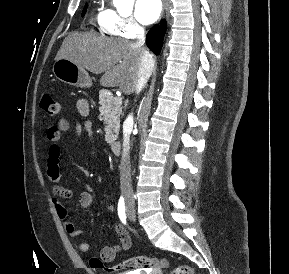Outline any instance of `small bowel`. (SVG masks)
<instances>
[{"instance_id": "1", "label": "small bowel", "mask_w": 289, "mask_h": 274, "mask_svg": "<svg viewBox=\"0 0 289 274\" xmlns=\"http://www.w3.org/2000/svg\"><path fill=\"white\" fill-rule=\"evenodd\" d=\"M79 110L83 114L88 112V103L81 101L79 103ZM70 123L68 120L62 118L57 123L51 125L46 133L47 141L49 142V149L46 158V170L47 176L51 182L52 202L55 207L58 217L63 221V225L67 233L71 237H78L82 231L75 227L70 221H68V211L63 203L64 199L72 198L74 192L71 188L65 187L60 184V141L62 134L69 130ZM75 130L77 134H82L84 131L92 136V125L90 121L85 122L84 125L76 124ZM96 195L94 189L90 185H86L85 189L79 194V202L83 208H88L94 204ZM107 198L104 202H107ZM109 211L114 212L112 205L108 206ZM115 231L118 235V244L105 246L101 249L100 260L102 262H112L120 251L128 250L131 247V238L128 232L121 224L115 226ZM79 250L82 252H88L90 245L87 241H80L78 244Z\"/></svg>"}]
</instances>
